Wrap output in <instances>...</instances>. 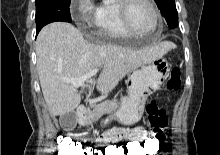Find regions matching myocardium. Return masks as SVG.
Instances as JSON below:
<instances>
[{
	"label": "myocardium",
	"instance_id": "1",
	"mask_svg": "<svg viewBox=\"0 0 220 155\" xmlns=\"http://www.w3.org/2000/svg\"><path fill=\"white\" fill-rule=\"evenodd\" d=\"M137 1H142V2L146 3L149 6V8L153 14V17L155 20V26H154L153 30H151L150 32L138 31L137 29H135L133 27V25L130 21V16H129L130 7L134 2H137ZM118 10H119V14H120V18L123 23V26L132 35H139V36L151 35V34L158 32L161 29L162 20H161L159 11H158L155 3L153 2V0H119Z\"/></svg>",
	"mask_w": 220,
	"mask_h": 155
}]
</instances>
